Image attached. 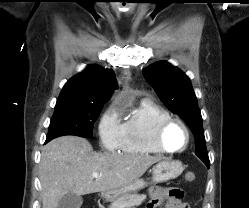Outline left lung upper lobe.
I'll return each instance as SVG.
<instances>
[{"label":"left lung upper lobe","instance_id":"1","mask_svg":"<svg viewBox=\"0 0 249 208\" xmlns=\"http://www.w3.org/2000/svg\"><path fill=\"white\" fill-rule=\"evenodd\" d=\"M143 74L163 104L188 124L196 138L195 154L209 168L202 117L190 79L181 70L165 61L148 66L143 70Z\"/></svg>","mask_w":249,"mask_h":208}]
</instances>
